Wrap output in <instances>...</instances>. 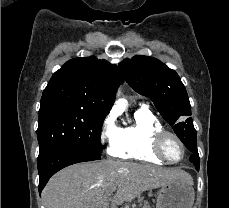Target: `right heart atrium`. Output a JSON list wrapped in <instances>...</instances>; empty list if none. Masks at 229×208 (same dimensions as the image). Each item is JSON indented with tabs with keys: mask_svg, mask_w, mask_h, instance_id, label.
Listing matches in <instances>:
<instances>
[{
	"mask_svg": "<svg viewBox=\"0 0 229 208\" xmlns=\"http://www.w3.org/2000/svg\"><path fill=\"white\" fill-rule=\"evenodd\" d=\"M119 138V128L113 113H109L102 121L100 140L107 144V149L112 153Z\"/></svg>",
	"mask_w": 229,
	"mask_h": 208,
	"instance_id": "obj_1",
	"label": "right heart atrium"
}]
</instances>
